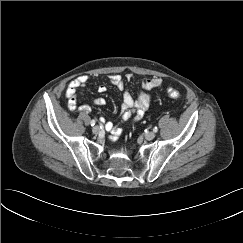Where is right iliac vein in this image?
<instances>
[{
  "instance_id": "obj_1",
  "label": "right iliac vein",
  "mask_w": 243,
  "mask_h": 243,
  "mask_svg": "<svg viewBox=\"0 0 243 243\" xmlns=\"http://www.w3.org/2000/svg\"><path fill=\"white\" fill-rule=\"evenodd\" d=\"M92 132H93L94 134H99V133H100V127H99V126H95V127H93Z\"/></svg>"
}]
</instances>
